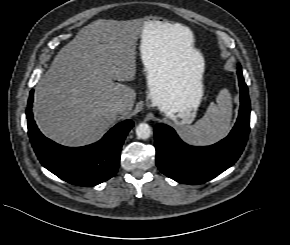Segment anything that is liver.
<instances>
[{
  "label": "liver",
  "mask_w": 290,
  "mask_h": 245,
  "mask_svg": "<svg viewBox=\"0 0 290 245\" xmlns=\"http://www.w3.org/2000/svg\"><path fill=\"white\" fill-rule=\"evenodd\" d=\"M144 28L130 21L98 20L58 52L34 94V117L47 137L67 146L89 144L116 120L114 102L124 103L121 115L131 112L136 92L123 82L135 78L136 44ZM157 32L159 44L170 47L183 71L196 69L200 52L187 27L159 22Z\"/></svg>",
  "instance_id": "6515ba94"
}]
</instances>
